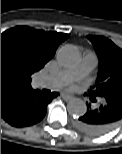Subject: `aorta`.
Listing matches in <instances>:
<instances>
[{
	"instance_id": "1",
	"label": "aorta",
	"mask_w": 122,
	"mask_h": 154,
	"mask_svg": "<svg viewBox=\"0 0 122 154\" xmlns=\"http://www.w3.org/2000/svg\"><path fill=\"white\" fill-rule=\"evenodd\" d=\"M79 59V52L75 46L65 45L57 51V60L63 66H72ZM68 113L73 116H81L86 113V103L79 99L73 98L67 104Z\"/></svg>"
}]
</instances>
